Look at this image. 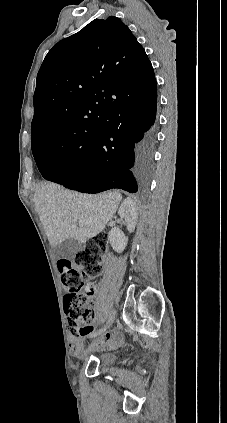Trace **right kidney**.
<instances>
[{
	"label": "right kidney",
	"mask_w": 227,
	"mask_h": 423,
	"mask_svg": "<svg viewBox=\"0 0 227 423\" xmlns=\"http://www.w3.org/2000/svg\"><path fill=\"white\" fill-rule=\"evenodd\" d=\"M118 213L120 217H123L126 221L128 231H134L138 219V208L135 200L132 198H126L124 202H122ZM108 239L115 251L117 253H122L124 251L128 237L123 233L120 227H112L108 233Z\"/></svg>",
	"instance_id": "1"
}]
</instances>
